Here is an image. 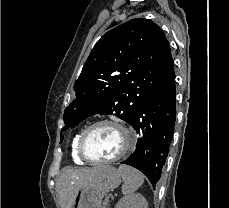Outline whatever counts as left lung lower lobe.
Returning a JSON list of instances; mask_svg holds the SVG:
<instances>
[{"instance_id":"obj_1","label":"left lung lower lobe","mask_w":229,"mask_h":208,"mask_svg":"<svg viewBox=\"0 0 229 208\" xmlns=\"http://www.w3.org/2000/svg\"><path fill=\"white\" fill-rule=\"evenodd\" d=\"M176 118L175 79L149 96L130 125L140 135L134 153L122 164L140 170L155 185L162 173Z\"/></svg>"}]
</instances>
